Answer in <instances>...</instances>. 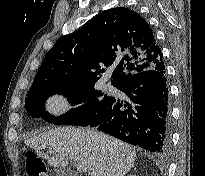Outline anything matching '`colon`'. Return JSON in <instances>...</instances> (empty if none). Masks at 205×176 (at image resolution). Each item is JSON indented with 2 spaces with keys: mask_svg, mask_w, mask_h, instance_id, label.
<instances>
[{
  "mask_svg": "<svg viewBox=\"0 0 205 176\" xmlns=\"http://www.w3.org/2000/svg\"><path fill=\"white\" fill-rule=\"evenodd\" d=\"M24 162L27 176H48L44 161L35 152L26 151Z\"/></svg>",
  "mask_w": 205,
  "mask_h": 176,
  "instance_id": "5ec220e1",
  "label": "colon"
}]
</instances>
